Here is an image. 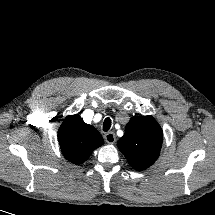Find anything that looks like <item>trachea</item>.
<instances>
[{
  "label": "trachea",
  "instance_id": "obj_1",
  "mask_svg": "<svg viewBox=\"0 0 215 215\" xmlns=\"http://www.w3.org/2000/svg\"><path fill=\"white\" fill-rule=\"evenodd\" d=\"M111 119L107 117L103 122V131L107 132L111 127Z\"/></svg>",
  "mask_w": 215,
  "mask_h": 215
}]
</instances>
